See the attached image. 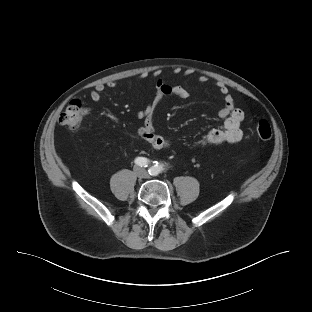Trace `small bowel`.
Segmentation results:
<instances>
[{
    "label": "small bowel",
    "instance_id": "c3829d8e",
    "mask_svg": "<svg viewBox=\"0 0 312 312\" xmlns=\"http://www.w3.org/2000/svg\"><path fill=\"white\" fill-rule=\"evenodd\" d=\"M191 71H184V75H190ZM143 77V76H141ZM206 76L199 77L200 82H206ZM117 83L109 81L106 85L98 84L90 93V99L94 103L101 100V95L106 88L113 89ZM216 87L223 96L224 105L219 110V116L224 119L221 127L210 130L199 141V145H217L222 143H236L243 138V130L241 123L244 118L243 112L235 106V102L228 87L222 82H218ZM156 94L153 101L138 112V117L143 121L142 126L138 128V135L142 140L151 145L155 150H163L170 146V142L165 137L157 134L154 129L155 110L163 97L176 96L186 99L190 96L189 91L183 86L169 85L162 80H157L155 84Z\"/></svg>",
    "mask_w": 312,
    "mask_h": 312
}]
</instances>
